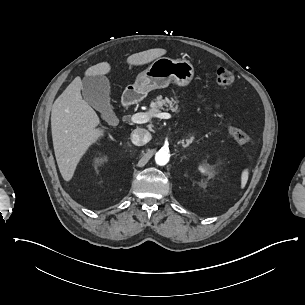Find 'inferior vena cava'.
<instances>
[{
	"instance_id": "1",
	"label": "inferior vena cava",
	"mask_w": 305,
	"mask_h": 305,
	"mask_svg": "<svg viewBox=\"0 0 305 305\" xmlns=\"http://www.w3.org/2000/svg\"><path fill=\"white\" fill-rule=\"evenodd\" d=\"M150 140L151 134L146 129L137 128L131 134V141L137 146H142Z\"/></svg>"
}]
</instances>
